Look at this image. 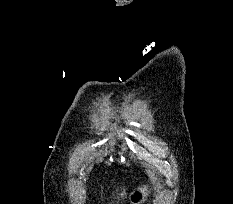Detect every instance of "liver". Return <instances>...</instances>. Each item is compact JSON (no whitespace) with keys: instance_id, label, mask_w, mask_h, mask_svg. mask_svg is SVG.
I'll return each mask as SVG.
<instances>
[{"instance_id":"obj_1","label":"liver","mask_w":233,"mask_h":204,"mask_svg":"<svg viewBox=\"0 0 233 204\" xmlns=\"http://www.w3.org/2000/svg\"><path fill=\"white\" fill-rule=\"evenodd\" d=\"M120 196L123 198V197H126V192H125V189H123V192L120 194Z\"/></svg>"}]
</instances>
